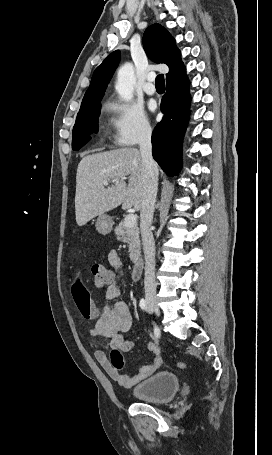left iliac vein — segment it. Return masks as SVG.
<instances>
[{
	"mask_svg": "<svg viewBox=\"0 0 272 455\" xmlns=\"http://www.w3.org/2000/svg\"><path fill=\"white\" fill-rule=\"evenodd\" d=\"M149 312H150V313L152 312V310H151L150 308H149Z\"/></svg>",
	"mask_w": 272,
	"mask_h": 455,
	"instance_id": "4c4485c4",
	"label": "left iliac vein"
}]
</instances>
